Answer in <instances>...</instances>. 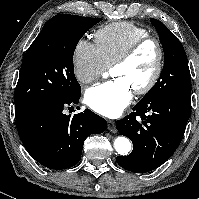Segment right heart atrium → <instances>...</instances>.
Wrapping results in <instances>:
<instances>
[{
  "label": "right heart atrium",
  "instance_id": "obj_1",
  "mask_svg": "<svg viewBox=\"0 0 199 199\" xmlns=\"http://www.w3.org/2000/svg\"><path fill=\"white\" fill-rule=\"evenodd\" d=\"M74 75L83 84L98 79L107 69L96 43L80 39L72 56Z\"/></svg>",
  "mask_w": 199,
  "mask_h": 199
}]
</instances>
